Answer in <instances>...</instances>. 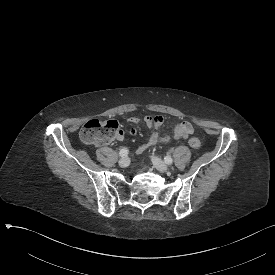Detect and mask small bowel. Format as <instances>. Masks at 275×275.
Returning <instances> with one entry per match:
<instances>
[{
    "instance_id": "1",
    "label": "small bowel",
    "mask_w": 275,
    "mask_h": 275,
    "mask_svg": "<svg viewBox=\"0 0 275 275\" xmlns=\"http://www.w3.org/2000/svg\"><path fill=\"white\" fill-rule=\"evenodd\" d=\"M126 119L128 120V122L132 123V124H137L140 122V118L138 116H128L126 117ZM152 121V123L155 125V128H151V135L149 137V139L139 145L137 148H136V152L138 154H141V153H144L146 150H148L150 147L156 145V144H159V143H166L170 140V136L166 135V136H160L158 133H157V127L162 123V118L157 116V117H154L152 119H148V122ZM193 132V126L190 122L188 121H182L180 123H178L175 128L173 129V132H172V138L174 140H183V139H186L191 133ZM117 139L122 141L125 139V132L123 129H118L117 130ZM131 133L132 134H135L136 133V130L135 129H132L131 130Z\"/></svg>"
}]
</instances>
